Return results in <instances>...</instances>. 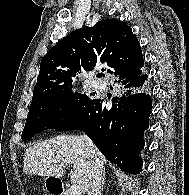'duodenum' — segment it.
<instances>
[{"instance_id": "obj_1", "label": "duodenum", "mask_w": 189, "mask_h": 195, "mask_svg": "<svg viewBox=\"0 0 189 195\" xmlns=\"http://www.w3.org/2000/svg\"><path fill=\"white\" fill-rule=\"evenodd\" d=\"M50 193L51 195H64V189L58 180L52 182Z\"/></svg>"}]
</instances>
